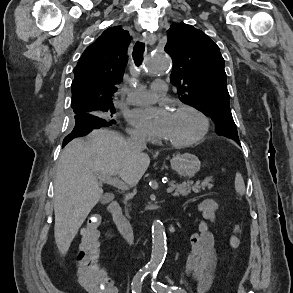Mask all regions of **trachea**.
I'll return each instance as SVG.
<instances>
[{
	"label": "trachea",
	"mask_w": 293,
	"mask_h": 293,
	"mask_svg": "<svg viewBox=\"0 0 293 293\" xmlns=\"http://www.w3.org/2000/svg\"><path fill=\"white\" fill-rule=\"evenodd\" d=\"M144 50H145V44L142 43V42H136L134 48H133V59H134V62L136 64V66H140L142 61H143V53H144Z\"/></svg>",
	"instance_id": "obj_1"
}]
</instances>
